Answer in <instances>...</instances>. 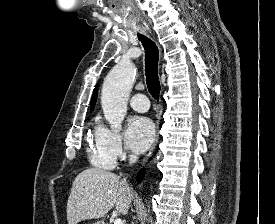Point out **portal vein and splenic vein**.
Here are the masks:
<instances>
[{
    "label": "portal vein and splenic vein",
    "mask_w": 275,
    "mask_h": 224,
    "mask_svg": "<svg viewBox=\"0 0 275 224\" xmlns=\"http://www.w3.org/2000/svg\"><path fill=\"white\" fill-rule=\"evenodd\" d=\"M114 224H124V221L118 218L114 221Z\"/></svg>",
    "instance_id": "18ae733b"
}]
</instances>
